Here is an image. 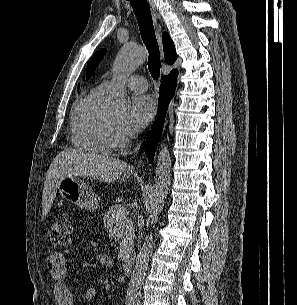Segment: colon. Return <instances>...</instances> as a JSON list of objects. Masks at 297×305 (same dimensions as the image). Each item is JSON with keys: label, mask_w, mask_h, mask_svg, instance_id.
Returning <instances> with one entry per match:
<instances>
[{"label": "colon", "mask_w": 297, "mask_h": 305, "mask_svg": "<svg viewBox=\"0 0 297 305\" xmlns=\"http://www.w3.org/2000/svg\"><path fill=\"white\" fill-rule=\"evenodd\" d=\"M72 222L69 214L62 213L54 221L49 238L54 248H66L72 237Z\"/></svg>", "instance_id": "obj_1"}]
</instances>
